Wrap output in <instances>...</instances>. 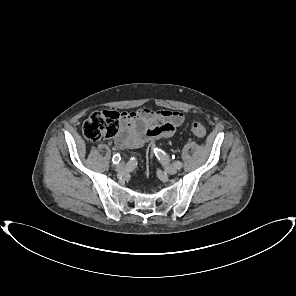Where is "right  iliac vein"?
Segmentation results:
<instances>
[{"mask_svg": "<svg viewBox=\"0 0 296 296\" xmlns=\"http://www.w3.org/2000/svg\"><path fill=\"white\" fill-rule=\"evenodd\" d=\"M125 169V164L124 163H120L119 165H117L116 170L117 171H123Z\"/></svg>", "mask_w": 296, "mask_h": 296, "instance_id": "1", "label": "right iliac vein"}]
</instances>
